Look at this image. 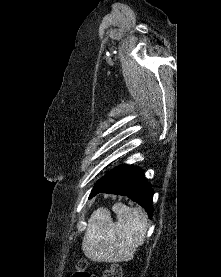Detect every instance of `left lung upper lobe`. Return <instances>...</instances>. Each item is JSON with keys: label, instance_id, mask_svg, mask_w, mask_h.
<instances>
[{"label": "left lung upper lobe", "instance_id": "obj_1", "mask_svg": "<svg viewBox=\"0 0 221 277\" xmlns=\"http://www.w3.org/2000/svg\"><path fill=\"white\" fill-rule=\"evenodd\" d=\"M126 166H127V165L123 164V165H120V166H118V167L112 169L111 171H109L108 173H106V174L104 175V177H102L100 180H98L97 183H99L100 181H102V180H104V179H106V178H108V177L114 176L115 174H117L119 171H121V170H122L124 167H126ZM97 183H96V184H97Z\"/></svg>", "mask_w": 221, "mask_h": 277}]
</instances>
